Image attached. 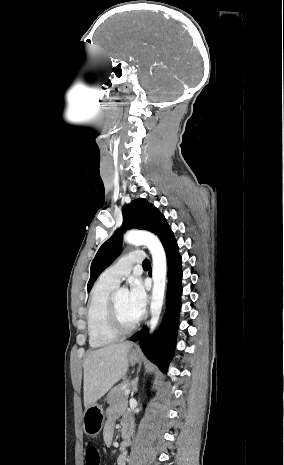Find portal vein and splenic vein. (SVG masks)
<instances>
[{
    "label": "portal vein and splenic vein",
    "instance_id": "obj_1",
    "mask_svg": "<svg viewBox=\"0 0 284 465\" xmlns=\"http://www.w3.org/2000/svg\"><path fill=\"white\" fill-rule=\"evenodd\" d=\"M130 393V389H127V391H125L124 395H129Z\"/></svg>",
    "mask_w": 284,
    "mask_h": 465
}]
</instances>
